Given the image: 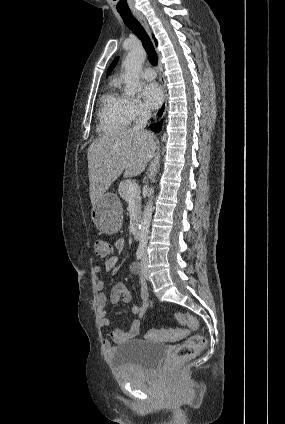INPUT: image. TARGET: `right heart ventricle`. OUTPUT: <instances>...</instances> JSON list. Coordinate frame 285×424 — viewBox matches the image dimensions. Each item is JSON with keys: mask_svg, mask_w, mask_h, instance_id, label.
Here are the masks:
<instances>
[{"mask_svg": "<svg viewBox=\"0 0 285 424\" xmlns=\"http://www.w3.org/2000/svg\"><path fill=\"white\" fill-rule=\"evenodd\" d=\"M127 100L119 91L118 83L112 81L100 100L97 126L100 133H114L127 126Z\"/></svg>", "mask_w": 285, "mask_h": 424, "instance_id": "obj_1", "label": "right heart ventricle"}]
</instances>
